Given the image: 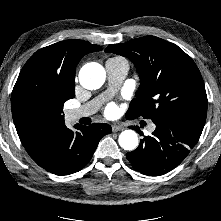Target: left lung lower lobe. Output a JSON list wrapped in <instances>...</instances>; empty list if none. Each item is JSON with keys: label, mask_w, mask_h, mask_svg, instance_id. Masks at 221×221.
Listing matches in <instances>:
<instances>
[{"label": "left lung lower lobe", "mask_w": 221, "mask_h": 221, "mask_svg": "<svg viewBox=\"0 0 221 221\" xmlns=\"http://www.w3.org/2000/svg\"><path fill=\"white\" fill-rule=\"evenodd\" d=\"M155 131L126 154L133 168L147 176L163 175L177 167L196 145L204 125L191 120L155 121ZM138 133L142 132L135 128Z\"/></svg>", "instance_id": "left-lung-lower-lobe-1"}]
</instances>
